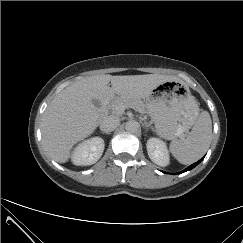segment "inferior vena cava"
Masks as SVG:
<instances>
[{"instance_id":"1","label":"inferior vena cava","mask_w":243,"mask_h":243,"mask_svg":"<svg viewBox=\"0 0 243 243\" xmlns=\"http://www.w3.org/2000/svg\"><path fill=\"white\" fill-rule=\"evenodd\" d=\"M119 122H120V120L118 117H116L114 115H110V116L105 117L101 121L100 128L103 132L109 133L118 127Z\"/></svg>"}]
</instances>
